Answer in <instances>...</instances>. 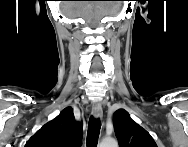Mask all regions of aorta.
Returning a JSON list of instances; mask_svg holds the SVG:
<instances>
[{
  "label": "aorta",
  "instance_id": "obj_1",
  "mask_svg": "<svg viewBox=\"0 0 188 147\" xmlns=\"http://www.w3.org/2000/svg\"><path fill=\"white\" fill-rule=\"evenodd\" d=\"M100 147H117V141L114 138H104L100 142Z\"/></svg>",
  "mask_w": 188,
  "mask_h": 147
}]
</instances>
